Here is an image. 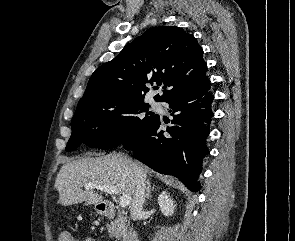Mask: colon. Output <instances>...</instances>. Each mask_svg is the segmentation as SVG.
<instances>
[{
    "label": "colon",
    "instance_id": "obj_1",
    "mask_svg": "<svg viewBox=\"0 0 295 241\" xmlns=\"http://www.w3.org/2000/svg\"><path fill=\"white\" fill-rule=\"evenodd\" d=\"M60 241H74L73 236L69 232H62L59 237Z\"/></svg>",
    "mask_w": 295,
    "mask_h": 241
}]
</instances>
